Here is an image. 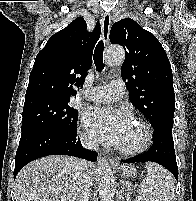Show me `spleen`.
Listing matches in <instances>:
<instances>
[{"label": "spleen", "instance_id": "3e777b00", "mask_svg": "<svg viewBox=\"0 0 196 201\" xmlns=\"http://www.w3.org/2000/svg\"><path fill=\"white\" fill-rule=\"evenodd\" d=\"M147 176L140 184L136 201H175L174 179L162 166L146 163Z\"/></svg>", "mask_w": 196, "mask_h": 201}]
</instances>
